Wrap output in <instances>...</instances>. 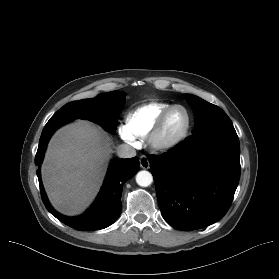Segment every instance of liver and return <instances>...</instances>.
Returning a JSON list of instances; mask_svg holds the SVG:
<instances>
[{"label":"liver","mask_w":279,"mask_h":279,"mask_svg":"<svg viewBox=\"0 0 279 279\" xmlns=\"http://www.w3.org/2000/svg\"><path fill=\"white\" fill-rule=\"evenodd\" d=\"M111 153L109 135L87 121L58 130L42 166L43 184L53 206L66 215L85 210L100 188Z\"/></svg>","instance_id":"liver-1"}]
</instances>
